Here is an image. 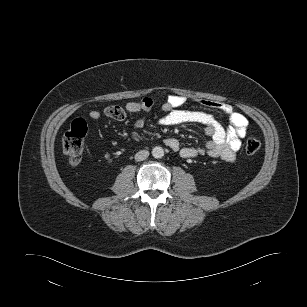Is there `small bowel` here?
Wrapping results in <instances>:
<instances>
[{"mask_svg":"<svg viewBox=\"0 0 307 307\" xmlns=\"http://www.w3.org/2000/svg\"><path fill=\"white\" fill-rule=\"evenodd\" d=\"M185 98L179 95H171L163 104L164 116L160 123L166 126H180L184 124H201L209 139L202 147H181L179 141L174 137H166L164 143L170 149L178 151L185 159L207 155L212 158H220L226 162H234L236 153L240 149L242 139L246 136L248 121L246 117L235 111L233 106L210 100H202L201 105L218 110L228 116L230 126L224 128L216 118L209 112L203 110H184L181 107ZM153 106L151 98H143L140 101H132L124 106L111 105L104 109V114L114 120H124L128 113H147ZM92 120H98L101 112L91 110L88 114ZM145 117H140L134 123L135 129H141L145 124Z\"/></svg>","mask_w":307,"mask_h":307,"instance_id":"1","label":"small bowel"}]
</instances>
